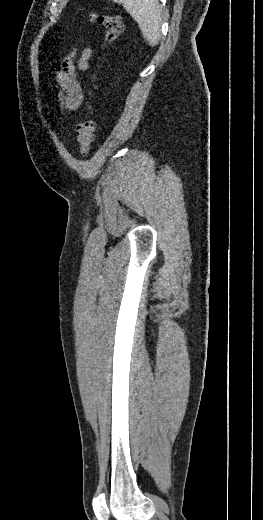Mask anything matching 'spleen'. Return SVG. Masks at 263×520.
I'll return each instance as SVG.
<instances>
[{"instance_id":"obj_1","label":"spleen","mask_w":263,"mask_h":520,"mask_svg":"<svg viewBox=\"0 0 263 520\" xmlns=\"http://www.w3.org/2000/svg\"><path fill=\"white\" fill-rule=\"evenodd\" d=\"M119 1L138 23L145 41L150 46H156L161 37V7L158 0Z\"/></svg>"}]
</instances>
